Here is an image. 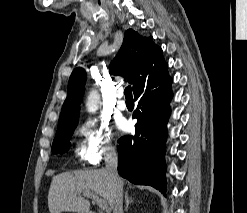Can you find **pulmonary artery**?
I'll list each match as a JSON object with an SVG mask.
<instances>
[{"instance_id": "obj_1", "label": "pulmonary artery", "mask_w": 247, "mask_h": 213, "mask_svg": "<svg viewBox=\"0 0 247 213\" xmlns=\"http://www.w3.org/2000/svg\"><path fill=\"white\" fill-rule=\"evenodd\" d=\"M122 97H123V92L122 90H119L117 92V101L115 107L120 111H125L127 109V104Z\"/></svg>"}]
</instances>
